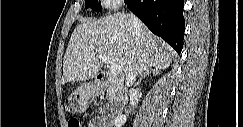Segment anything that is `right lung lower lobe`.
Segmentation results:
<instances>
[{"label":"right lung lower lobe","mask_w":243,"mask_h":127,"mask_svg":"<svg viewBox=\"0 0 243 127\" xmlns=\"http://www.w3.org/2000/svg\"><path fill=\"white\" fill-rule=\"evenodd\" d=\"M126 4L155 35L180 54L185 30L183 0H126Z\"/></svg>","instance_id":"1"}]
</instances>
